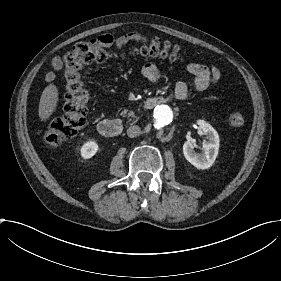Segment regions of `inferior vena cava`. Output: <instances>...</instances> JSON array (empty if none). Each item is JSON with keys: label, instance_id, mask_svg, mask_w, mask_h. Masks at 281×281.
<instances>
[{"label": "inferior vena cava", "instance_id": "inferior-vena-cava-1", "mask_svg": "<svg viewBox=\"0 0 281 281\" xmlns=\"http://www.w3.org/2000/svg\"><path fill=\"white\" fill-rule=\"evenodd\" d=\"M140 132H141L140 127L137 126V125L130 126L127 129V135L130 138H134V137L139 136Z\"/></svg>", "mask_w": 281, "mask_h": 281}]
</instances>
